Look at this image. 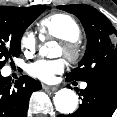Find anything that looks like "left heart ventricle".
<instances>
[{"mask_svg":"<svg viewBox=\"0 0 117 117\" xmlns=\"http://www.w3.org/2000/svg\"><path fill=\"white\" fill-rule=\"evenodd\" d=\"M56 54H57V55L63 54V49H62L61 46L58 47V49H57V51H56Z\"/></svg>","mask_w":117,"mask_h":117,"instance_id":"obj_1","label":"left heart ventricle"}]
</instances>
